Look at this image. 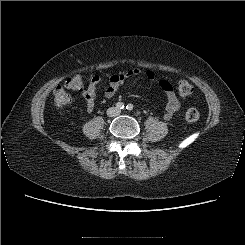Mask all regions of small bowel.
I'll use <instances>...</instances> for the list:
<instances>
[{
    "instance_id": "small-bowel-1",
    "label": "small bowel",
    "mask_w": 245,
    "mask_h": 245,
    "mask_svg": "<svg viewBox=\"0 0 245 245\" xmlns=\"http://www.w3.org/2000/svg\"><path fill=\"white\" fill-rule=\"evenodd\" d=\"M140 71L138 69H131L123 73L113 74L109 78L108 86L104 91V96L107 99L114 97L119 87L129 78L139 75ZM146 77L149 80L155 79V74L152 71L146 72ZM101 79L99 76H94L87 88L83 93V97L86 101V110L88 113H92L95 109L96 97H97V88ZM159 86L164 91L167 104L165 107L164 119L169 121L180 109V100L174 91L172 84L165 80H159Z\"/></svg>"
}]
</instances>
